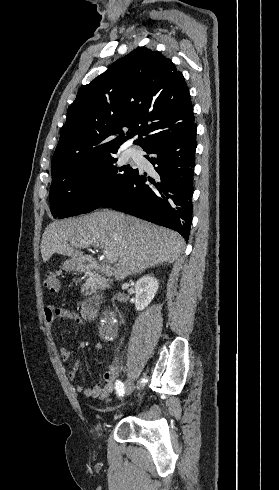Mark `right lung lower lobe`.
Wrapping results in <instances>:
<instances>
[{"label": "right lung lower lobe", "instance_id": "1", "mask_svg": "<svg viewBox=\"0 0 279 490\" xmlns=\"http://www.w3.org/2000/svg\"><path fill=\"white\" fill-rule=\"evenodd\" d=\"M197 125L165 141L148 146L145 157L160 178L146 174L129 179L101 207H111L179 232L189 239ZM150 182V183H149Z\"/></svg>", "mask_w": 279, "mask_h": 490}]
</instances>
